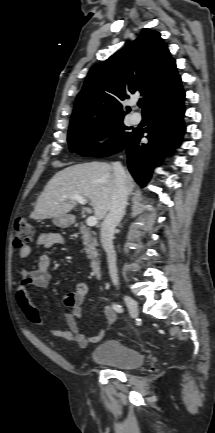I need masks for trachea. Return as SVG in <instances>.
<instances>
[{"label": "trachea", "mask_w": 215, "mask_h": 433, "mask_svg": "<svg viewBox=\"0 0 215 433\" xmlns=\"http://www.w3.org/2000/svg\"><path fill=\"white\" fill-rule=\"evenodd\" d=\"M138 106H139L140 108H142L143 110H146L145 103H144V100H143V99H140V100H139V102H138Z\"/></svg>", "instance_id": "1"}]
</instances>
